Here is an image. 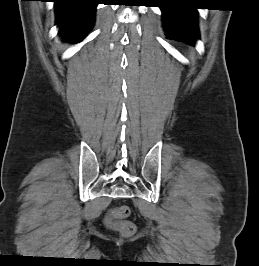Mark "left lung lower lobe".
Segmentation results:
<instances>
[{
    "instance_id": "left-lung-lower-lobe-1",
    "label": "left lung lower lobe",
    "mask_w": 259,
    "mask_h": 266,
    "mask_svg": "<svg viewBox=\"0 0 259 266\" xmlns=\"http://www.w3.org/2000/svg\"><path fill=\"white\" fill-rule=\"evenodd\" d=\"M164 26L169 38L193 44L198 38L197 16L193 8L178 4V0H163Z\"/></svg>"
}]
</instances>
